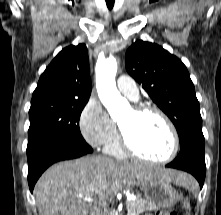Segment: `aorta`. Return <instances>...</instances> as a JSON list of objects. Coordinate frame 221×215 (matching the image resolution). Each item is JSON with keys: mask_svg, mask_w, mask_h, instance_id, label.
I'll use <instances>...</instances> for the list:
<instances>
[{"mask_svg": "<svg viewBox=\"0 0 221 215\" xmlns=\"http://www.w3.org/2000/svg\"><path fill=\"white\" fill-rule=\"evenodd\" d=\"M95 71L98 96L110 115L115 116L118 110L128 108L127 100L120 95L115 83L116 58L110 56L106 59L98 60Z\"/></svg>", "mask_w": 221, "mask_h": 215, "instance_id": "obj_1", "label": "aorta"}]
</instances>
